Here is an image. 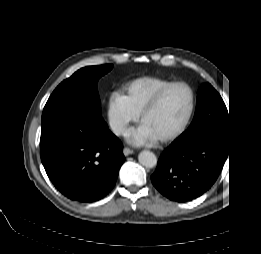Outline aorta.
<instances>
[{
	"label": "aorta",
	"instance_id": "1",
	"mask_svg": "<svg viewBox=\"0 0 261 254\" xmlns=\"http://www.w3.org/2000/svg\"><path fill=\"white\" fill-rule=\"evenodd\" d=\"M138 160L139 163L146 168H153L157 164V158L155 154L151 151H142L138 155Z\"/></svg>",
	"mask_w": 261,
	"mask_h": 254
}]
</instances>
